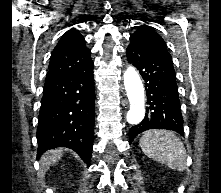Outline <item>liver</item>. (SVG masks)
<instances>
[{"instance_id": "1", "label": "liver", "mask_w": 221, "mask_h": 193, "mask_svg": "<svg viewBox=\"0 0 221 193\" xmlns=\"http://www.w3.org/2000/svg\"><path fill=\"white\" fill-rule=\"evenodd\" d=\"M63 153L62 148H57L45 152L41 157V170L40 175L44 176L45 172L50 168L51 165L58 162L61 159Z\"/></svg>"}]
</instances>
